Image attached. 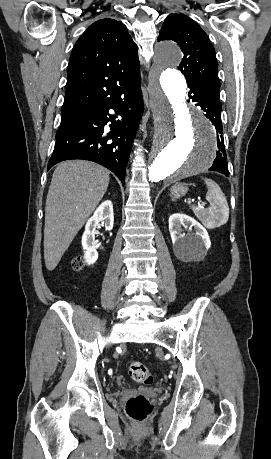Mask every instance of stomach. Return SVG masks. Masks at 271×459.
Wrapping results in <instances>:
<instances>
[{"label": "stomach", "instance_id": "stomach-1", "mask_svg": "<svg viewBox=\"0 0 271 459\" xmlns=\"http://www.w3.org/2000/svg\"><path fill=\"white\" fill-rule=\"evenodd\" d=\"M188 184H175L172 186L170 190V196L172 200H177V198H182L186 192H188L187 188Z\"/></svg>", "mask_w": 271, "mask_h": 459}]
</instances>
